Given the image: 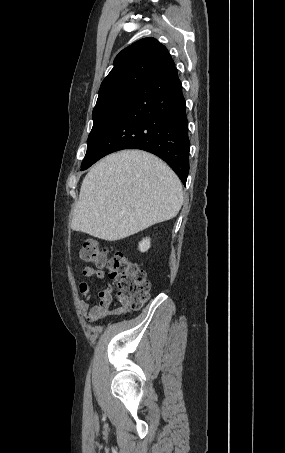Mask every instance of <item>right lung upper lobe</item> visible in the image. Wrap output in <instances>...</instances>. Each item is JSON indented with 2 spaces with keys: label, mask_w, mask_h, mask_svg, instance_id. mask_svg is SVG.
I'll return each instance as SVG.
<instances>
[{
  "label": "right lung upper lobe",
  "mask_w": 285,
  "mask_h": 453,
  "mask_svg": "<svg viewBox=\"0 0 285 453\" xmlns=\"http://www.w3.org/2000/svg\"><path fill=\"white\" fill-rule=\"evenodd\" d=\"M175 66L168 50L154 38H144L123 49L103 80L96 105L136 92L150 79Z\"/></svg>",
  "instance_id": "right-lung-upper-lobe-1"
}]
</instances>
